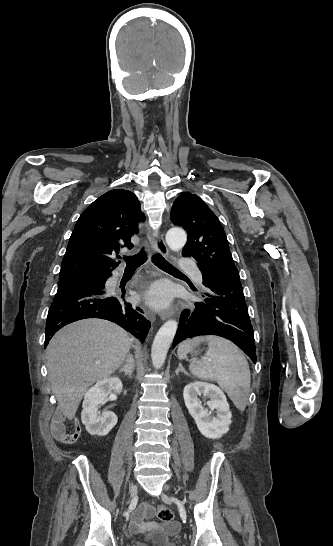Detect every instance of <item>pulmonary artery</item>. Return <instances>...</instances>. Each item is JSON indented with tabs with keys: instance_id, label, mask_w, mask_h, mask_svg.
I'll list each match as a JSON object with an SVG mask.
<instances>
[{
	"instance_id": "obj_1",
	"label": "pulmonary artery",
	"mask_w": 333,
	"mask_h": 546,
	"mask_svg": "<svg viewBox=\"0 0 333 546\" xmlns=\"http://www.w3.org/2000/svg\"><path fill=\"white\" fill-rule=\"evenodd\" d=\"M190 266H191V262H190V261H188V260H182V262H181V268L187 269V268H189ZM119 275H120V273H117L115 276L117 277V276H119ZM194 279H195V281L198 282V283H201V282H202V276H201V273H200L198 270L194 271Z\"/></svg>"
}]
</instances>
